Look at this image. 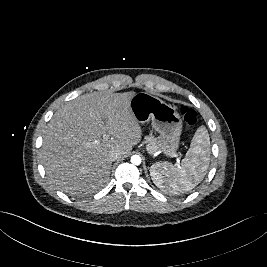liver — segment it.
Returning <instances> with one entry per match:
<instances>
[{"label": "liver", "instance_id": "obj_1", "mask_svg": "<svg viewBox=\"0 0 267 267\" xmlns=\"http://www.w3.org/2000/svg\"><path fill=\"white\" fill-rule=\"evenodd\" d=\"M135 92H95L59 108L47 124L41 161L50 182L69 195H87L110 176V152L128 156L142 137L129 102ZM110 139L104 140L103 136ZM97 142L89 145V143Z\"/></svg>", "mask_w": 267, "mask_h": 267}]
</instances>
